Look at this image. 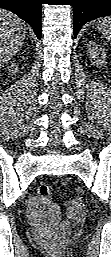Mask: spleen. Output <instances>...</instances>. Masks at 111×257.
<instances>
[{"label":"spleen","mask_w":111,"mask_h":257,"mask_svg":"<svg viewBox=\"0 0 111 257\" xmlns=\"http://www.w3.org/2000/svg\"><path fill=\"white\" fill-rule=\"evenodd\" d=\"M98 29L108 40L111 41V17L99 19Z\"/></svg>","instance_id":"3e777b00"}]
</instances>
